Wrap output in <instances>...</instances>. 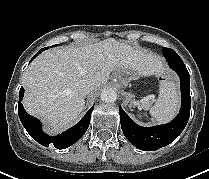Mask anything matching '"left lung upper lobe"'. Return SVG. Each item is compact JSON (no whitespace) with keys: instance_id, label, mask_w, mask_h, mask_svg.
<instances>
[{"instance_id":"obj_1","label":"left lung upper lobe","mask_w":209,"mask_h":179,"mask_svg":"<svg viewBox=\"0 0 209 179\" xmlns=\"http://www.w3.org/2000/svg\"><path fill=\"white\" fill-rule=\"evenodd\" d=\"M176 54L177 53L174 50L163 47V55L166 59H168V57H171V58L176 57Z\"/></svg>"}]
</instances>
